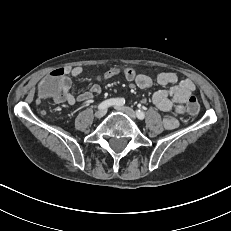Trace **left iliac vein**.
Wrapping results in <instances>:
<instances>
[{
    "mask_svg": "<svg viewBox=\"0 0 231 231\" xmlns=\"http://www.w3.org/2000/svg\"><path fill=\"white\" fill-rule=\"evenodd\" d=\"M115 109H117L118 111H121L125 114H127L130 118L135 119L136 118V114L135 112L126 106H115Z\"/></svg>",
    "mask_w": 231,
    "mask_h": 231,
    "instance_id": "left-iliac-vein-1",
    "label": "left iliac vein"
}]
</instances>
